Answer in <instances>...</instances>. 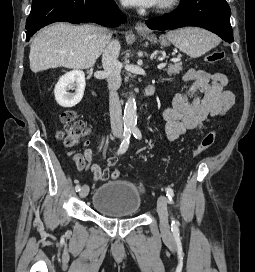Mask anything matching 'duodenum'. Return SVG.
Listing matches in <instances>:
<instances>
[{"label":"duodenum","instance_id":"obj_1","mask_svg":"<svg viewBox=\"0 0 255 272\" xmlns=\"http://www.w3.org/2000/svg\"><path fill=\"white\" fill-rule=\"evenodd\" d=\"M154 91L155 88L153 85H147L142 92V97L143 98L151 97L154 94Z\"/></svg>","mask_w":255,"mask_h":272}]
</instances>
